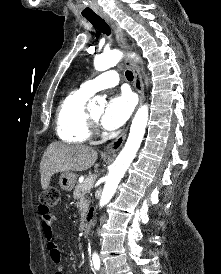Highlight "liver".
<instances>
[{
    "mask_svg": "<svg viewBox=\"0 0 221 274\" xmlns=\"http://www.w3.org/2000/svg\"><path fill=\"white\" fill-rule=\"evenodd\" d=\"M93 148L79 145H65L58 142L50 144L40 163L41 186L49 187L51 177L60 172L85 171L97 160Z\"/></svg>",
    "mask_w": 221,
    "mask_h": 274,
    "instance_id": "6515ba94",
    "label": "liver"
}]
</instances>
